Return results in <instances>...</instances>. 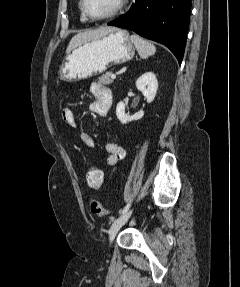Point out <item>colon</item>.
Returning a JSON list of instances; mask_svg holds the SVG:
<instances>
[{
  "mask_svg": "<svg viewBox=\"0 0 240 287\" xmlns=\"http://www.w3.org/2000/svg\"><path fill=\"white\" fill-rule=\"evenodd\" d=\"M86 182L87 185L92 189H99L103 185L104 174L103 171L98 166H89L86 169ZM90 210L92 214L100 217L109 216L110 212L104 205L96 199L90 201Z\"/></svg>",
  "mask_w": 240,
  "mask_h": 287,
  "instance_id": "1",
  "label": "colon"
}]
</instances>
